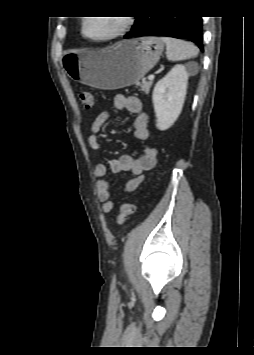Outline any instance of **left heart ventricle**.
Listing matches in <instances>:
<instances>
[{
	"mask_svg": "<svg viewBox=\"0 0 254 355\" xmlns=\"http://www.w3.org/2000/svg\"><path fill=\"white\" fill-rule=\"evenodd\" d=\"M120 25L118 17H93L87 20L85 32L93 38H104L116 32Z\"/></svg>",
	"mask_w": 254,
	"mask_h": 355,
	"instance_id": "b2bd125f",
	"label": "left heart ventricle"
}]
</instances>
